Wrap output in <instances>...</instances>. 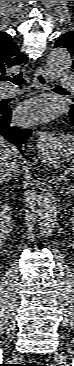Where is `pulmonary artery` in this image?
I'll return each mask as SVG.
<instances>
[{
	"mask_svg": "<svg viewBox=\"0 0 74 366\" xmlns=\"http://www.w3.org/2000/svg\"><path fill=\"white\" fill-rule=\"evenodd\" d=\"M60 80V86L62 88H72L74 85V82L71 78H68L65 75H61L59 77ZM18 90L14 87H7L3 90V96L5 97H11L14 96L15 94H17Z\"/></svg>",
	"mask_w": 74,
	"mask_h": 366,
	"instance_id": "obj_1",
	"label": "pulmonary artery"
}]
</instances>
